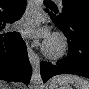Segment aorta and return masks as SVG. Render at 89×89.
<instances>
[{
	"instance_id": "1",
	"label": "aorta",
	"mask_w": 89,
	"mask_h": 89,
	"mask_svg": "<svg viewBox=\"0 0 89 89\" xmlns=\"http://www.w3.org/2000/svg\"><path fill=\"white\" fill-rule=\"evenodd\" d=\"M39 3H42V0H39ZM35 59L37 62V56L35 55ZM32 86L31 89H42V78L40 74V68L38 64H36L35 69L33 70L31 77Z\"/></svg>"
}]
</instances>
